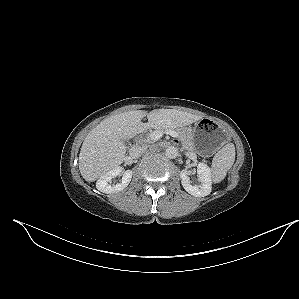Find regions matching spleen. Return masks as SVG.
Returning a JSON list of instances; mask_svg holds the SVG:
<instances>
[{
    "mask_svg": "<svg viewBox=\"0 0 299 299\" xmlns=\"http://www.w3.org/2000/svg\"><path fill=\"white\" fill-rule=\"evenodd\" d=\"M234 161L235 146L233 143H228L215 154L212 160L211 177L214 183H219L226 177Z\"/></svg>",
    "mask_w": 299,
    "mask_h": 299,
    "instance_id": "spleen-1",
    "label": "spleen"
}]
</instances>
